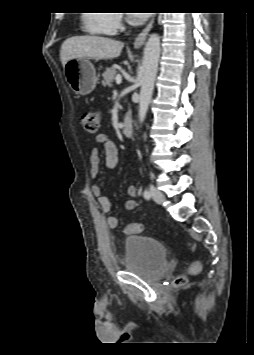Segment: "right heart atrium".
Instances as JSON below:
<instances>
[{
    "label": "right heart atrium",
    "instance_id": "obj_1",
    "mask_svg": "<svg viewBox=\"0 0 254 355\" xmlns=\"http://www.w3.org/2000/svg\"><path fill=\"white\" fill-rule=\"evenodd\" d=\"M106 23L112 33L118 32L124 26L123 15L118 11L109 12L106 14Z\"/></svg>",
    "mask_w": 254,
    "mask_h": 355
}]
</instances>
